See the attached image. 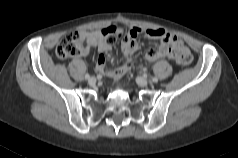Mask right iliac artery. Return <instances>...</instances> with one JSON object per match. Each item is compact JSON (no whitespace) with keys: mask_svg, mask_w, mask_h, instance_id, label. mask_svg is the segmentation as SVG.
Returning <instances> with one entry per match:
<instances>
[{"mask_svg":"<svg viewBox=\"0 0 238 158\" xmlns=\"http://www.w3.org/2000/svg\"><path fill=\"white\" fill-rule=\"evenodd\" d=\"M85 78H86V79H89V78H90V75H89V74H85Z\"/></svg>","mask_w":238,"mask_h":158,"instance_id":"obj_1","label":"right iliac artery"}]
</instances>
